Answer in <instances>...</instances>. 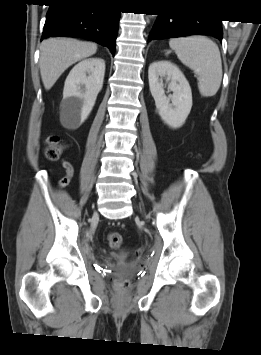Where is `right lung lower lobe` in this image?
I'll use <instances>...</instances> for the list:
<instances>
[{
  "label": "right lung lower lobe",
  "mask_w": 261,
  "mask_h": 355,
  "mask_svg": "<svg viewBox=\"0 0 261 355\" xmlns=\"http://www.w3.org/2000/svg\"><path fill=\"white\" fill-rule=\"evenodd\" d=\"M41 40L49 37L87 38L115 55L121 12L103 0H50Z\"/></svg>",
  "instance_id": "1"
}]
</instances>
